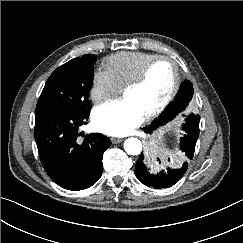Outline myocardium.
I'll list each match as a JSON object with an SVG mask.
<instances>
[{"label":"myocardium","mask_w":243,"mask_h":243,"mask_svg":"<svg viewBox=\"0 0 243 243\" xmlns=\"http://www.w3.org/2000/svg\"><path fill=\"white\" fill-rule=\"evenodd\" d=\"M161 61H168L173 65L174 68V73H175V78H174V83L173 87L167 96V98L163 101V103L156 108L154 111L151 113L147 114L145 116L146 120H152L160 116L162 113L166 111V109L172 104L174 99L176 98L178 91L180 89L181 85V73H180V68L178 63L171 57L169 56H157L150 60L141 70V72L137 75L135 79H133L131 82H129L123 90V93L125 94L129 90H133L136 88H139L146 80L151 68L158 62Z\"/></svg>","instance_id":"1"}]
</instances>
